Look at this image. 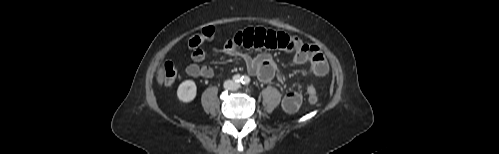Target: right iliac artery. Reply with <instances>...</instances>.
Wrapping results in <instances>:
<instances>
[{"instance_id":"obj_1","label":"right iliac artery","mask_w":499,"mask_h":154,"mask_svg":"<svg viewBox=\"0 0 499 154\" xmlns=\"http://www.w3.org/2000/svg\"><path fill=\"white\" fill-rule=\"evenodd\" d=\"M242 80V76L237 74V75H234L233 76V81L236 82V83H240Z\"/></svg>"}]
</instances>
